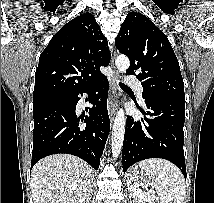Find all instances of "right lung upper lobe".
Listing matches in <instances>:
<instances>
[{
  "mask_svg": "<svg viewBox=\"0 0 214 203\" xmlns=\"http://www.w3.org/2000/svg\"><path fill=\"white\" fill-rule=\"evenodd\" d=\"M110 52L95 17L80 14L65 24L41 53L33 99L49 98L81 88L101 75Z\"/></svg>",
  "mask_w": 214,
  "mask_h": 203,
  "instance_id": "1",
  "label": "right lung upper lobe"
}]
</instances>
